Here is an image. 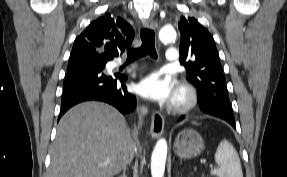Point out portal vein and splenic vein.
I'll use <instances>...</instances> for the list:
<instances>
[{
	"label": "portal vein and splenic vein",
	"mask_w": 287,
	"mask_h": 177,
	"mask_svg": "<svg viewBox=\"0 0 287 177\" xmlns=\"http://www.w3.org/2000/svg\"><path fill=\"white\" fill-rule=\"evenodd\" d=\"M108 163H109V161L106 162V164H108ZM210 166L212 167V165H210Z\"/></svg>",
	"instance_id": "portal-vein-and-splenic-vein-1"
}]
</instances>
